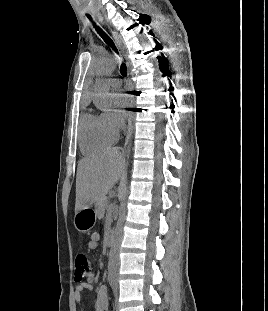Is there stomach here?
<instances>
[{
	"label": "stomach",
	"mask_w": 268,
	"mask_h": 311,
	"mask_svg": "<svg viewBox=\"0 0 268 311\" xmlns=\"http://www.w3.org/2000/svg\"><path fill=\"white\" fill-rule=\"evenodd\" d=\"M96 217L95 211L88 206L75 213L73 223L79 232H87L93 228Z\"/></svg>",
	"instance_id": "1"
}]
</instances>
